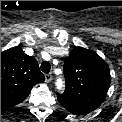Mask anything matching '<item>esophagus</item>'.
<instances>
[{
    "instance_id": "34e87169",
    "label": "esophagus",
    "mask_w": 122,
    "mask_h": 122,
    "mask_svg": "<svg viewBox=\"0 0 122 122\" xmlns=\"http://www.w3.org/2000/svg\"><path fill=\"white\" fill-rule=\"evenodd\" d=\"M51 80H52V75L49 73V74H46L45 75V81L47 82V83H49V82H51Z\"/></svg>"
}]
</instances>
